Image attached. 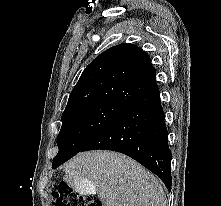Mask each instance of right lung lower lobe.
<instances>
[{"label": "right lung lower lobe", "instance_id": "right-lung-lower-lobe-1", "mask_svg": "<svg viewBox=\"0 0 221 206\" xmlns=\"http://www.w3.org/2000/svg\"><path fill=\"white\" fill-rule=\"evenodd\" d=\"M112 150L128 155L156 174L171 190V151L158 86L145 93L81 151Z\"/></svg>", "mask_w": 221, "mask_h": 206}]
</instances>
